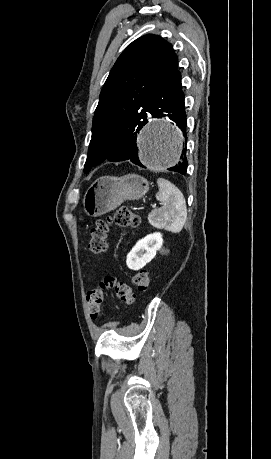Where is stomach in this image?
<instances>
[{
  "label": "stomach",
  "mask_w": 271,
  "mask_h": 459,
  "mask_svg": "<svg viewBox=\"0 0 271 459\" xmlns=\"http://www.w3.org/2000/svg\"><path fill=\"white\" fill-rule=\"evenodd\" d=\"M148 190L149 182L137 174L122 178L102 176L88 188L83 200L84 210L87 216L97 218L116 210L125 200H140Z\"/></svg>",
  "instance_id": "obj_1"
}]
</instances>
